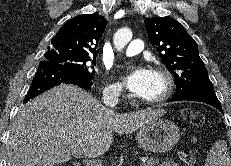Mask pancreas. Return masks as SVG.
<instances>
[{"label":"pancreas","mask_w":231,"mask_h":166,"mask_svg":"<svg viewBox=\"0 0 231 166\" xmlns=\"http://www.w3.org/2000/svg\"><path fill=\"white\" fill-rule=\"evenodd\" d=\"M187 164H188V166H192V163L187 162ZM155 165H158V166H179L174 161L167 160V159H164V160L151 159L149 162H146L143 164V166H155Z\"/></svg>","instance_id":"pancreas-1"}]
</instances>
